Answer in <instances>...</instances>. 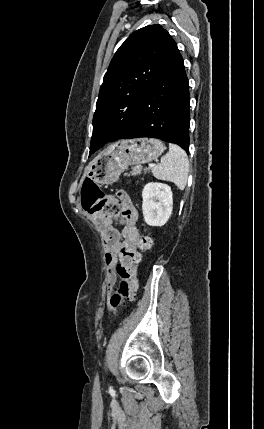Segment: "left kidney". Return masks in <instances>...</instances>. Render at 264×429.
Returning <instances> with one entry per match:
<instances>
[{
  "label": "left kidney",
  "instance_id": "obj_1",
  "mask_svg": "<svg viewBox=\"0 0 264 429\" xmlns=\"http://www.w3.org/2000/svg\"><path fill=\"white\" fill-rule=\"evenodd\" d=\"M142 211L150 226H163L172 214V191L170 186L159 182L147 183L142 191Z\"/></svg>",
  "mask_w": 264,
  "mask_h": 429
}]
</instances>
